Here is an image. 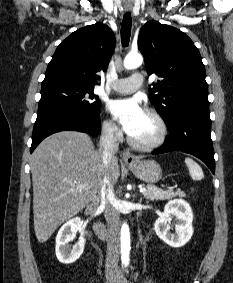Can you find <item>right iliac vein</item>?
Wrapping results in <instances>:
<instances>
[{"label":"right iliac vein","mask_w":233,"mask_h":283,"mask_svg":"<svg viewBox=\"0 0 233 283\" xmlns=\"http://www.w3.org/2000/svg\"><path fill=\"white\" fill-rule=\"evenodd\" d=\"M106 283H115V277L113 274H108L106 276Z\"/></svg>","instance_id":"1"}]
</instances>
